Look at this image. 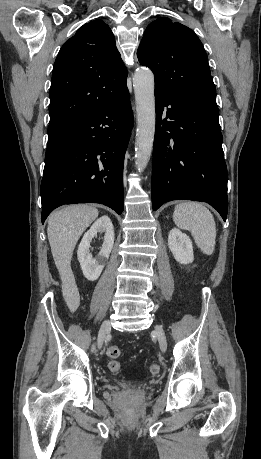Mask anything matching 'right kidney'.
Wrapping results in <instances>:
<instances>
[{
	"mask_svg": "<svg viewBox=\"0 0 261 459\" xmlns=\"http://www.w3.org/2000/svg\"><path fill=\"white\" fill-rule=\"evenodd\" d=\"M98 232H105L104 242L97 258L93 259L90 253V242ZM114 244V228L110 218L106 215L97 219L84 234L77 251V257L84 276L95 281L100 276Z\"/></svg>",
	"mask_w": 261,
	"mask_h": 459,
	"instance_id": "1",
	"label": "right kidney"
}]
</instances>
